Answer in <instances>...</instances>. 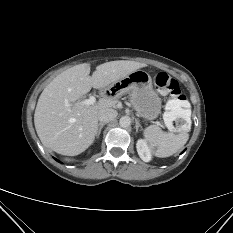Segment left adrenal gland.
Wrapping results in <instances>:
<instances>
[{"instance_id": "left-adrenal-gland-1", "label": "left adrenal gland", "mask_w": 233, "mask_h": 233, "mask_svg": "<svg viewBox=\"0 0 233 233\" xmlns=\"http://www.w3.org/2000/svg\"><path fill=\"white\" fill-rule=\"evenodd\" d=\"M135 123H136V126H135V128H136V132H138L139 128H141V129H142V126L140 125V123L138 122V120H137V119L135 120Z\"/></svg>"}]
</instances>
